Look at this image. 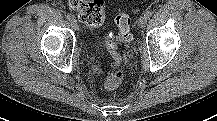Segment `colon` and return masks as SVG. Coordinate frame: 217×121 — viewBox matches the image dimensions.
<instances>
[{"label":"colon","instance_id":"5ec220e1","mask_svg":"<svg viewBox=\"0 0 217 121\" xmlns=\"http://www.w3.org/2000/svg\"><path fill=\"white\" fill-rule=\"evenodd\" d=\"M69 8L74 11L79 19L90 27H100L106 17V4L104 0H68ZM139 7H133L132 13L138 14ZM118 28L117 37L107 41V49L113 59L111 64V73L104 83L107 91L115 90L124 78V70L121 66V56L117 50L116 41L129 42L132 40L130 29V17L127 13H120L115 18Z\"/></svg>","mask_w":217,"mask_h":121}]
</instances>
